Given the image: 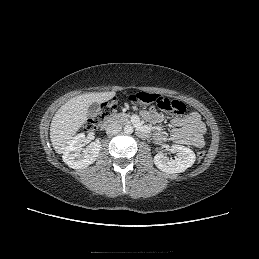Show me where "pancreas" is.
<instances>
[{
  "label": "pancreas",
  "mask_w": 259,
  "mask_h": 259,
  "mask_svg": "<svg viewBox=\"0 0 259 259\" xmlns=\"http://www.w3.org/2000/svg\"><path fill=\"white\" fill-rule=\"evenodd\" d=\"M114 118L121 123H126L129 121V115L125 113L116 114Z\"/></svg>",
  "instance_id": "cf45deb5"
}]
</instances>
